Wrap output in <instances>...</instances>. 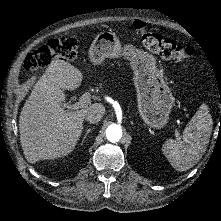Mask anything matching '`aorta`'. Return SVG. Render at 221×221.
<instances>
[{
  "label": "aorta",
  "instance_id": "aorta-1",
  "mask_svg": "<svg viewBox=\"0 0 221 221\" xmlns=\"http://www.w3.org/2000/svg\"><path fill=\"white\" fill-rule=\"evenodd\" d=\"M106 138L112 143L118 142L122 138V128L117 124H111L106 129Z\"/></svg>",
  "mask_w": 221,
  "mask_h": 221
}]
</instances>
